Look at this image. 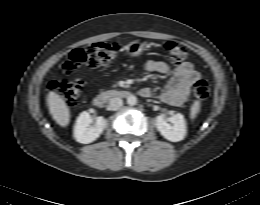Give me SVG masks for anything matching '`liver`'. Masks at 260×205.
Returning <instances> with one entry per match:
<instances>
[{"label":"liver","instance_id":"1","mask_svg":"<svg viewBox=\"0 0 260 205\" xmlns=\"http://www.w3.org/2000/svg\"><path fill=\"white\" fill-rule=\"evenodd\" d=\"M47 104L49 112L55 122L62 127L68 126L71 115L69 107L63 97L51 91L47 96Z\"/></svg>","mask_w":260,"mask_h":205}]
</instances>
